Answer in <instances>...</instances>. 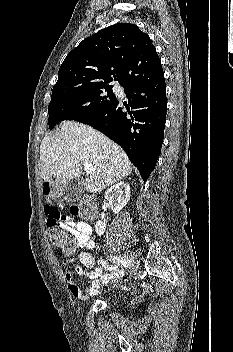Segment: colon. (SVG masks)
Masks as SVG:
<instances>
[{"instance_id": "1", "label": "colon", "mask_w": 233, "mask_h": 352, "mask_svg": "<svg viewBox=\"0 0 233 352\" xmlns=\"http://www.w3.org/2000/svg\"><path fill=\"white\" fill-rule=\"evenodd\" d=\"M71 212L73 215L83 218L93 217L96 212V204L94 199L90 196H84L79 204L72 207ZM47 235L51 243L65 254H72L75 251V243L60 227L48 224Z\"/></svg>"}]
</instances>
